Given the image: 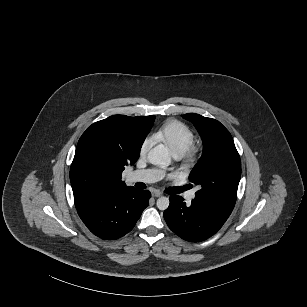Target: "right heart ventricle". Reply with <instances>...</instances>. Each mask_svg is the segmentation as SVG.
I'll use <instances>...</instances> for the list:
<instances>
[{"instance_id":"e07e8e85","label":"right heart ventricle","mask_w":307,"mask_h":307,"mask_svg":"<svg viewBox=\"0 0 307 307\" xmlns=\"http://www.w3.org/2000/svg\"><path fill=\"white\" fill-rule=\"evenodd\" d=\"M154 139L164 143L175 155L184 154L194 142L193 133L184 125L169 121L154 130Z\"/></svg>"}]
</instances>
